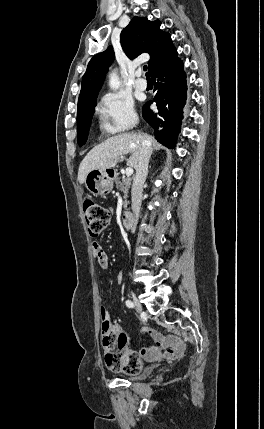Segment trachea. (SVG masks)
I'll return each instance as SVG.
<instances>
[{
  "label": "trachea",
  "mask_w": 264,
  "mask_h": 429,
  "mask_svg": "<svg viewBox=\"0 0 264 429\" xmlns=\"http://www.w3.org/2000/svg\"><path fill=\"white\" fill-rule=\"evenodd\" d=\"M143 70L147 71V66L146 65H144ZM146 77H149L147 73H146Z\"/></svg>",
  "instance_id": "obj_1"
}]
</instances>
